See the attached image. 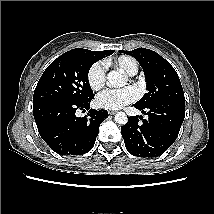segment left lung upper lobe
I'll use <instances>...</instances> for the list:
<instances>
[{
	"label": "left lung upper lobe",
	"mask_w": 214,
	"mask_h": 214,
	"mask_svg": "<svg viewBox=\"0 0 214 214\" xmlns=\"http://www.w3.org/2000/svg\"><path fill=\"white\" fill-rule=\"evenodd\" d=\"M120 52L131 55L144 70L147 93L134 105L146 107L163 101L185 102L184 92L178 74L172 65L155 51L137 48Z\"/></svg>",
	"instance_id": "left-lung-upper-lobe-1"
}]
</instances>
